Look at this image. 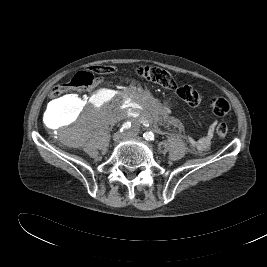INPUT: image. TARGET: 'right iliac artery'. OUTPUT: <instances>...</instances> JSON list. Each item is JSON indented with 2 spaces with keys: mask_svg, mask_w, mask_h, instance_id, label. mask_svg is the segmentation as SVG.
<instances>
[{
  "mask_svg": "<svg viewBox=\"0 0 267 267\" xmlns=\"http://www.w3.org/2000/svg\"><path fill=\"white\" fill-rule=\"evenodd\" d=\"M130 128H131V123H130V122H125V123L122 125L121 131L130 129Z\"/></svg>",
  "mask_w": 267,
  "mask_h": 267,
  "instance_id": "82829eb1",
  "label": "right iliac artery"
}]
</instances>
